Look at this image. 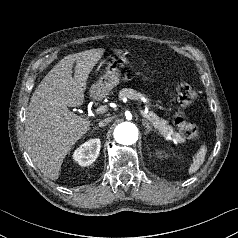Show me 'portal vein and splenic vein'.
<instances>
[{"instance_id":"obj_1","label":"portal vein and splenic vein","mask_w":238,"mask_h":238,"mask_svg":"<svg viewBox=\"0 0 238 238\" xmlns=\"http://www.w3.org/2000/svg\"><path fill=\"white\" fill-rule=\"evenodd\" d=\"M106 111H107V107H106V106H102V107L97 108V112H99V113H105ZM142 115H143L147 120L150 121L149 116H148L147 114L142 113ZM167 139H170V137H167Z\"/></svg>"}]
</instances>
